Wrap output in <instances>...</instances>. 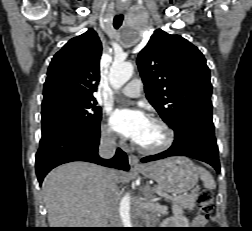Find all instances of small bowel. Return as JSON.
I'll list each match as a JSON object with an SVG mask.
<instances>
[{
    "label": "small bowel",
    "mask_w": 252,
    "mask_h": 231,
    "mask_svg": "<svg viewBox=\"0 0 252 231\" xmlns=\"http://www.w3.org/2000/svg\"><path fill=\"white\" fill-rule=\"evenodd\" d=\"M193 223H194L195 226H200V225L206 224V223H207V220H206L202 215H197V216L194 218Z\"/></svg>",
    "instance_id": "c3829d8e"
}]
</instances>
